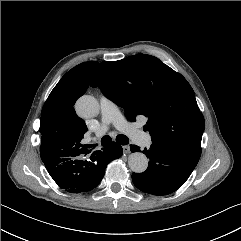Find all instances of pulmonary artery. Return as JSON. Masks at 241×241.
Here are the masks:
<instances>
[{"label":"pulmonary artery","mask_w":241,"mask_h":241,"mask_svg":"<svg viewBox=\"0 0 241 241\" xmlns=\"http://www.w3.org/2000/svg\"><path fill=\"white\" fill-rule=\"evenodd\" d=\"M101 110V123L97 129V135H103L110 124H113L118 130L126 133L136 143L141 146H149L152 142L150 134L138 129L129 123L120 113L117 106L106 96L101 95L99 98Z\"/></svg>","instance_id":"e3ab8cb5"}]
</instances>
